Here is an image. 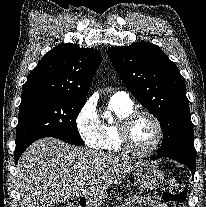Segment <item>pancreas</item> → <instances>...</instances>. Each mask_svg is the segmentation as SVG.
<instances>
[{"label":"pancreas","instance_id":"pancreas-1","mask_svg":"<svg viewBox=\"0 0 206 207\" xmlns=\"http://www.w3.org/2000/svg\"><path fill=\"white\" fill-rule=\"evenodd\" d=\"M131 204V201H127L125 203H120L117 207H131Z\"/></svg>","mask_w":206,"mask_h":207}]
</instances>
